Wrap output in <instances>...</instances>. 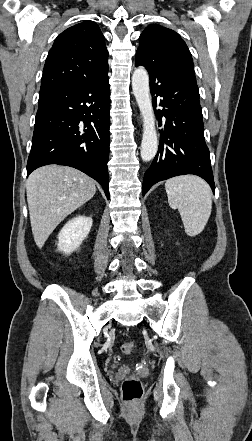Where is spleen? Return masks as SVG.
<instances>
[{"instance_id": "spleen-1", "label": "spleen", "mask_w": 252, "mask_h": 441, "mask_svg": "<svg viewBox=\"0 0 252 441\" xmlns=\"http://www.w3.org/2000/svg\"><path fill=\"white\" fill-rule=\"evenodd\" d=\"M165 189L172 209H178L185 232L194 237L200 234L212 210V191L202 178L194 175L174 177L166 181Z\"/></svg>"}]
</instances>
